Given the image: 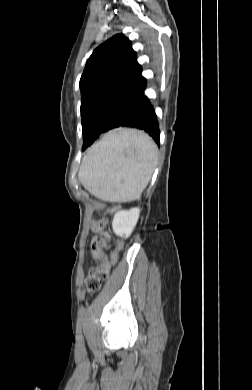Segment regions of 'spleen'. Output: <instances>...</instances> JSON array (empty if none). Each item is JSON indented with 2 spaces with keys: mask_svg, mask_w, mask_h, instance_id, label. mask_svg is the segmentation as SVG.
<instances>
[{
  "mask_svg": "<svg viewBox=\"0 0 252 390\" xmlns=\"http://www.w3.org/2000/svg\"><path fill=\"white\" fill-rule=\"evenodd\" d=\"M157 154V146L145 133L119 129L88 150L78 178L85 189L101 200L133 201L146 188Z\"/></svg>",
  "mask_w": 252,
  "mask_h": 390,
  "instance_id": "obj_1",
  "label": "spleen"
}]
</instances>
